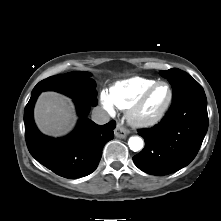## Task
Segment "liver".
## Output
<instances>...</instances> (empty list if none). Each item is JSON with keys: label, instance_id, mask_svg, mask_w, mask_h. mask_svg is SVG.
<instances>
[{"label": "liver", "instance_id": "6515ba94", "mask_svg": "<svg viewBox=\"0 0 221 221\" xmlns=\"http://www.w3.org/2000/svg\"><path fill=\"white\" fill-rule=\"evenodd\" d=\"M34 119L43 134L60 137L74 127L77 117L69 98L56 92H43L36 102Z\"/></svg>", "mask_w": 221, "mask_h": 221}]
</instances>
